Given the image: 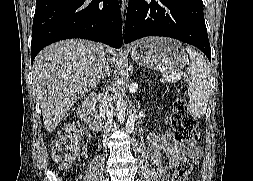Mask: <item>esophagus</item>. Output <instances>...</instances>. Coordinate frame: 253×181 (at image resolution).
I'll use <instances>...</instances> for the list:
<instances>
[{"mask_svg": "<svg viewBox=\"0 0 253 181\" xmlns=\"http://www.w3.org/2000/svg\"><path fill=\"white\" fill-rule=\"evenodd\" d=\"M125 0H122V2H121V11H122V13H124V10H125Z\"/></svg>", "mask_w": 253, "mask_h": 181, "instance_id": "34e87169", "label": "esophagus"}]
</instances>
